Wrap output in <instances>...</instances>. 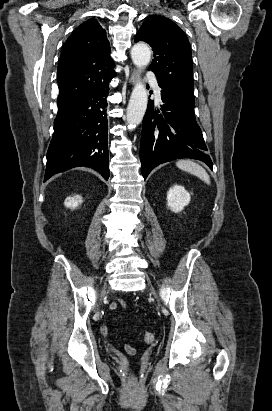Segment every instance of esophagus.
<instances>
[{
    "label": "esophagus",
    "mask_w": 272,
    "mask_h": 411,
    "mask_svg": "<svg viewBox=\"0 0 272 411\" xmlns=\"http://www.w3.org/2000/svg\"><path fill=\"white\" fill-rule=\"evenodd\" d=\"M138 79V71L136 69H133L130 75V83L134 84Z\"/></svg>",
    "instance_id": "34e87169"
}]
</instances>
